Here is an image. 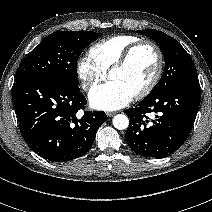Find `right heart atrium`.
I'll return each mask as SVG.
<instances>
[{"mask_svg":"<svg viewBox=\"0 0 212 212\" xmlns=\"http://www.w3.org/2000/svg\"><path fill=\"white\" fill-rule=\"evenodd\" d=\"M76 74L84 91L91 90L106 78V73L97 67L89 57L78 59Z\"/></svg>","mask_w":212,"mask_h":212,"instance_id":"1","label":"right heart atrium"}]
</instances>
